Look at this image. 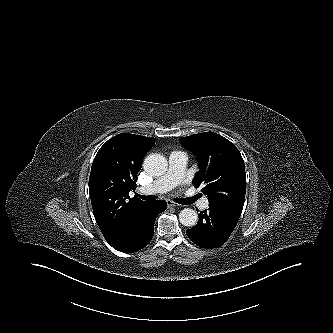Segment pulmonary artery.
<instances>
[{
    "instance_id": "pulmonary-artery-1",
    "label": "pulmonary artery",
    "mask_w": 333,
    "mask_h": 333,
    "mask_svg": "<svg viewBox=\"0 0 333 333\" xmlns=\"http://www.w3.org/2000/svg\"><path fill=\"white\" fill-rule=\"evenodd\" d=\"M187 157L183 152H173L169 157V170L167 173L142 190L145 194L165 193L181 183L184 177V170ZM208 207V199L204 198L200 202V208Z\"/></svg>"
}]
</instances>
